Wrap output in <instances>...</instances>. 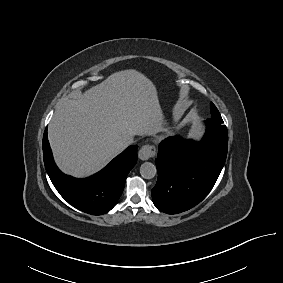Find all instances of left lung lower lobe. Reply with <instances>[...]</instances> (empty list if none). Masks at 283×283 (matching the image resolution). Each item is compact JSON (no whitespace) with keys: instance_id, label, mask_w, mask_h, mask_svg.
<instances>
[{"instance_id":"obj_1","label":"left lung lower lobe","mask_w":283,"mask_h":283,"mask_svg":"<svg viewBox=\"0 0 283 283\" xmlns=\"http://www.w3.org/2000/svg\"><path fill=\"white\" fill-rule=\"evenodd\" d=\"M200 142L169 137L158 149V180L152 189L154 205L167 214L187 211L211 191L224 166L228 132L212 119Z\"/></svg>"}]
</instances>
